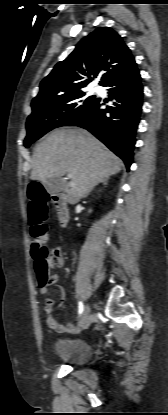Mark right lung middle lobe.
<instances>
[{"mask_svg":"<svg viewBox=\"0 0 168 415\" xmlns=\"http://www.w3.org/2000/svg\"><path fill=\"white\" fill-rule=\"evenodd\" d=\"M97 101L98 98L88 96L82 90L32 107V114L26 122L25 147L28 148L50 130L65 126L88 111Z\"/></svg>","mask_w":168,"mask_h":415,"instance_id":"1","label":"right lung middle lobe"}]
</instances>
